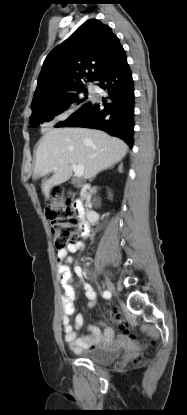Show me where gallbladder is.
<instances>
[{
	"mask_svg": "<svg viewBox=\"0 0 187 415\" xmlns=\"http://www.w3.org/2000/svg\"><path fill=\"white\" fill-rule=\"evenodd\" d=\"M72 184H74V185H79V180H78V179H74V180L72 181Z\"/></svg>",
	"mask_w": 187,
	"mask_h": 415,
	"instance_id": "gallbladder-1",
	"label": "gallbladder"
}]
</instances>
